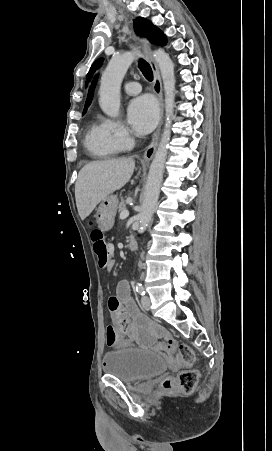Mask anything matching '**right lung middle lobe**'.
Listing matches in <instances>:
<instances>
[{
  "instance_id": "dd1d6c3e",
  "label": "right lung middle lobe",
  "mask_w": 272,
  "mask_h": 451,
  "mask_svg": "<svg viewBox=\"0 0 272 451\" xmlns=\"http://www.w3.org/2000/svg\"><path fill=\"white\" fill-rule=\"evenodd\" d=\"M86 110H87V108L84 109L83 114H85Z\"/></svg>"
}]
</instances>
